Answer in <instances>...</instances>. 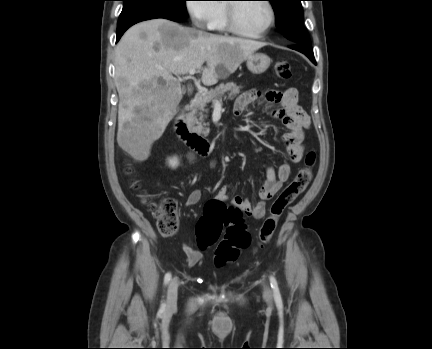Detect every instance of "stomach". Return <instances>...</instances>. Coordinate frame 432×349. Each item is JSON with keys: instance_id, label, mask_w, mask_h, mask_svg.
<instances>
[{"instance_id": "0dacf381", "label": "stomach", "mask_w": 432, "mask_h": 349, "mask_svg": "<svg viewBox=\"0 0 432 349\" xmlns=\"http://www.w3.org/2000/svg\"><path fill=\"white\" fill-rule=\"evenodd\" d=\"M247 68L254 74L265 72L270 66L271 59L264 53H253L247 57Z\"/></svg>"}]
</instances>
